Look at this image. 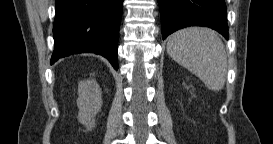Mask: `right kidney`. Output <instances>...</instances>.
I'll return each mask as SVG.
<instances>
[{"label":"right kidney","instance_id":"1","mask_svg":"<svg viewBox=\"0 0 273 144\" xmlns=\"http://www.w3.org/2000/svg\"><path fill=\"white\" fill-rule=\"evenodd\" d=\"M99 92V86L93 79L81 81L78 85V121L83 124L87 130H91L95 127L94 118L97 114V109L93 107L92 100L99 96Z\"/></svg>","mask_w":273,"mask_h":144}]
</instances>
